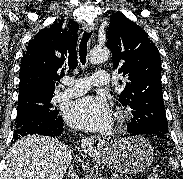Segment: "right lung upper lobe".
<instances>
[{"mask_svg":"<svg viewBox=\"0 0 183 179\" xmlns=\"http://www.w3.org/2000/svg\"><path fill=\"white\" fill-rule=\"evenodd\" d=\"M39 31L28 43L21 59L19 96L53 94L56 81L77 67L76 45L79 25L70 20Z\"/></svg>","mask_w":183,"mask_h":179,"instance_id":"right-lung-upper-lobe-1","label":"right lung upper lobe"}]
</instances>
